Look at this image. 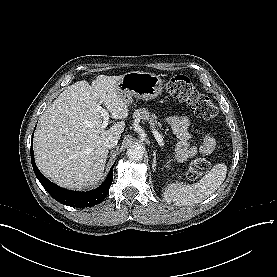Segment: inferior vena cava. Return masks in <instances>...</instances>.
<instances>
[{
    "label": "inferior vena cava",
    "mask_w": 277,
    "mask_h": 277,
    "mask_svg": "<svg viewBox=\"0 0 277 277\" xmlns=\"http://www.w3.org/2000/svg\"><path fill=\"white\" fill-rule=\"evenodd\" d=\"M117 143H118V138L110 136L105 140L104 146L108 149H111V148H114L117 145Z\"/></svg>",
    "instance_id": "inferior-vena-cava-1"
}]
</instances>
